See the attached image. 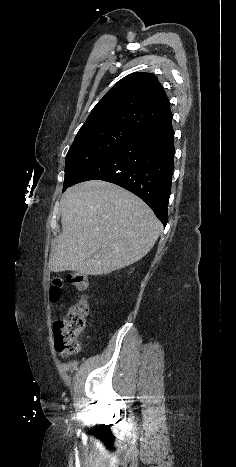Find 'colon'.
<instances>
[{"instance_id":"1","label":"colon","mask_w":236,"mask_h":467,"mask_svg":"<svg viewBox=\"0 0 236 467\" xmlns=\"http://www.w3.org/2000/svg\"><path fill=\"white\" fill-rule=\"evenodd\" d=\"M68 283L80 291L89 287L87 276L81 272H73L68 277ZM63 293V281L60 278L53 280L50 286V300L57 304ZM87 300L81 299L70 305L62 319L54 323V340L58 353L63 357H70L78 353V339L86 328L89 315Z\"/></svg>"}]
</instances>
